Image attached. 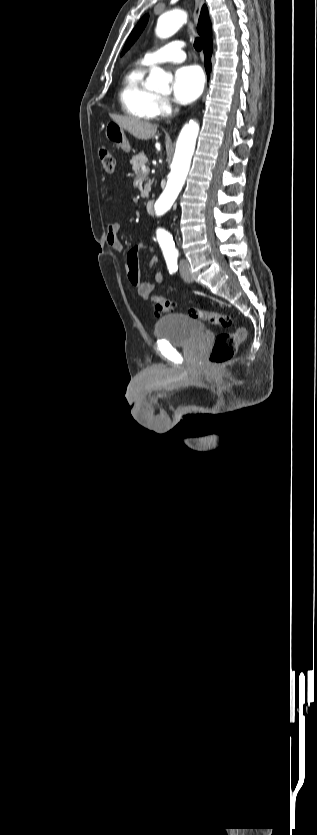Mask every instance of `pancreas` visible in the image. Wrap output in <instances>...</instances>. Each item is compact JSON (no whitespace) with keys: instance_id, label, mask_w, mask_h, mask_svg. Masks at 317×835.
I'll list each match as a JSON object with an SVG mask.
<instances>
[{"instance_id":"1","label":"pancreas","mask_w":317,"mask_h":835,"mask_svg":"<svg viewBox=\"0 0 317 835\" xmlns=\"http://www.w3.org/2000/svg\"><path fill=\"white\" fill-rule=\"evenodd\" d=\"M148 159L144 153H140L138 155H134L130 161L132 165V169L136 175H141L145 177L148 174V171L143 172L141 170L142 166L147 163ZM151 181L145 184V190L141 192V197L148 198V194L150 191Z\"/></svg>"}]
</instances>
